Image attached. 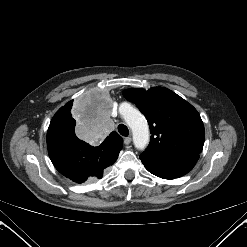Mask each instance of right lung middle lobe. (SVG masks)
Listing matches in <instances>:
<instances>
[{"label": "right lung middle lobe", "instance_id": "dd1d6c3e", "mask_svg": "<svg viewBox=\"0 0 247 247\" xmlns=\"http://www.w3.org/2000/svg\"><path fill=\"white\" fill-rule=\"evenodd\" d=\"M71 110L72 113L74 115V117L76 116L73 112L72 107L70 108V110H68L67 112H65L64 114L60 115L57 119H56V125L60 126V127H65L68 128L70 130H74L75 125H76V121L75 119L72 117L71 114Z\"/></svg>", "mask_w": 247, "mask_h": 247}]
</instances>
